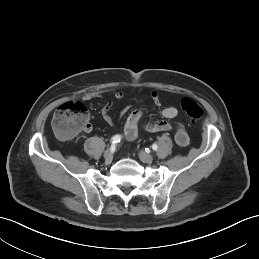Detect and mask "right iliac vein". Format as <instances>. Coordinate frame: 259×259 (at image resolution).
Segmentation results:
<instances>
[{"label":"right iliac vein","instance_id":"63e3f726","mask_svg":"<svg viewBox=\"0 0 259 259\" xmlns=\"http://www.w3.org/2000/svg\"><path fill=\"white\" fill-rule=\"evenodd\" d=\"M104 159H105V163L106 164H110L113 160V153L110 149H107L105 152H104Z\"/></svg>","mask_w":259,"mask_h":259}]
</instances>
